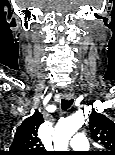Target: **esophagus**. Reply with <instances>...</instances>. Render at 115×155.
<instances>
[{"instance_id": "34e87169", "label": "esophagus", "mask_w": 115, "mask_h": 155, "mask_svg": "<svg viewBox=\"0 0 115 155\" xmlns=\"http://www.w3.org/2000/svg\"><path fill=\"white\" fill-rule=\"evenodd\" d=\"M64 98L67 99V100H70V99L73 98V94L72 93H65Z\"/></svg>"}]
</instances>
